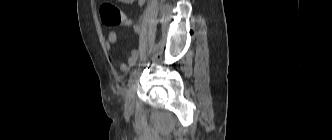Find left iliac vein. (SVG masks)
Masks as SVG:
<instances>
[{
  "instance_id": "1",
  "label": "left iliac vein",
  "mask_w": 332,
  "mask_h": 140,
  "mask_svg": "<svg viewBox=\"0 0 332 140\" xmlns=\"http://www.w3.org/2000/svg\"><path fill=\"white\" fill-rule=\"evenodd\" d=\"M136 80H137V75L132 78L130 81V88L126 94L125 97V109L127 112H132L134 110V97H135V92H136Z\"/></svg>"
}]
</instances>
